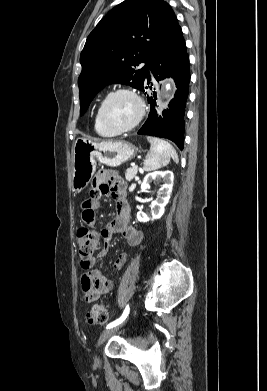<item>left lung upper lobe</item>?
I'll use <instances>...</instances> for the list:
<instances>
[{
	"mask_svg": "<svg viewBox=\"0 0 267 391\" xmlns=\"http://www.w3.org/2000/svg\"><path fill=\"white\" fill-rule=\"evenodd\" d=\"M178 26L163 0H125L115 6L89 34L80 55V115L106 85L141 90L151 56ZM142 62L147 65L136 68Z\"/></svg>",
	"mask_w": 267,
	"mask_h": 391,
	"instance_id": "left-lung-upper-lobe-1",
	"label": "left lung upper lobe"
}]
</instances>
